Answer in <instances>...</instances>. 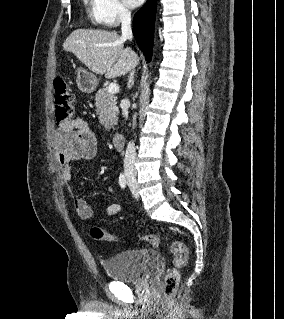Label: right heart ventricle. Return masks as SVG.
Masks as SVG:
<instances>
[{
  "instance_id": "e07e8e85",
  "label": "right heart ventricle",
  "mask_w": 284,
  "mask_h": 319,
  "mask_svg": "<svg viewBox=\"0 0 284 319\" xmlns=\"http://www.w3.org/2000/svg\"><path fill=\"white\" fill-rule=\"evenodd\" d=\"M86 12L90 20L95 24H103L98 0H83Z\"/></svg>"
}]
</instances>
